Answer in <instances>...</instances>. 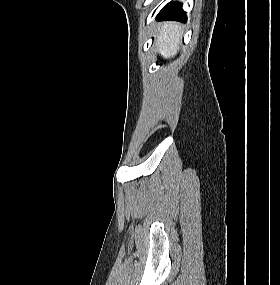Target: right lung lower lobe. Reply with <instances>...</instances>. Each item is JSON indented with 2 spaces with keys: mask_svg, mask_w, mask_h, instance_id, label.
<instances>
[{
  "mask_svg": "<svg viewBox=\"0 0 280 285\" xmlns=\"http://www.w3.org/2000/svg\"><path fill=\"white\" fill-rule=\"evenodd\" d=\"M158 20H177L186 22V13L182 9V5L177 2L168 3L158 14Z\"/></svg>",
  "mask_w": 280,
  "mask_h": 285,
  "instance_id": "obj_1",
  "label": "right lung lower lobe"
}]
</instances>
